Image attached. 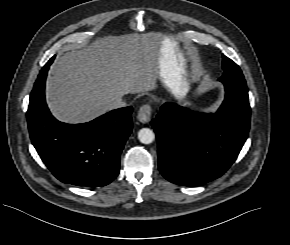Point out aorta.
I'll return each mask as SVG.
<instances>
[{
  "instance_id": "762f6f07",
  "label": "aorta",
  "mask_w": 290,
  "mask_h": 245,
  "mask_svg": "<svg viewBox=\"0 0 290 245\" xmlns=\"http://www.w3.org/2000/svg\"><path fill=\"white\" fill-rule=\"evenodd\" d=\"M155 138L154 132L149 128H142L138 132V139L143 144H150Z\"/></svg>"
}]
</instances>
